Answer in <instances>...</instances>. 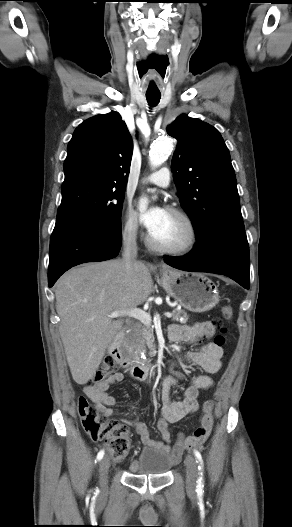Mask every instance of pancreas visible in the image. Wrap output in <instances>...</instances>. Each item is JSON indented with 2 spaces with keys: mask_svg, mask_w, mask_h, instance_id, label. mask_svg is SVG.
<instances>
[{
  "mask_svg": "<svg viewBox=\"0 0 292 527\" xmlns=\"http://www.w3.org/2000/svg\"><path fill=\"white\" fill-rule=\"evenodd\" d=\"M188 314L184 310H173V321L186 323ZM126 342L134 347L136 351H143L145 345L150 349L153 348L154 335L153 329L149 325L137 322L131 327V331L126 336Z\"/></svg>",
  "mask_w": 292,
  "mask_h": 527,
  "instance_id": "obj_1",
  "label": "pancreas"
}]
</instances>
